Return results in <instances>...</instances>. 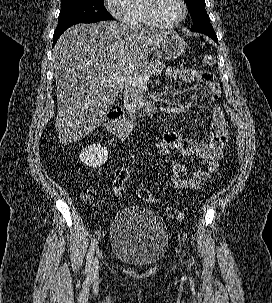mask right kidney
<instances>
[{
	"label": "right kidney",
	"mask_w": 272,
	"mask_h": 303,
	"mask_svg": "<svg viewBox=\"0 0 272 303\" xmlns=\"http://www.w3.org/2000/svg\"><path fill=\"white\" fill-rule=\"evenodd\" d=\"M79 157L86 166L99 168L107 161L108 151L101 144H93L82 150Z\"/></svg>",
	"instance_id": "right-kidney-1"
}]
</instances>
